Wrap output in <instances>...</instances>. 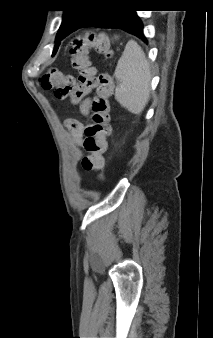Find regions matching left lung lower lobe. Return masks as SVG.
Returning <instances> with one entry per match:
<instances>
[{
    "label": "left lung lower lobe",
    "instance_id": "0a47b994",
    "mask_svg": "<svg viewBox=\"0 0 213 338\" xmlns=\"http://www.w3.org/2000/svg\"><path fill=\"white\" fill-rule=\"evenodd\" d=\"M84 27L119 28L147 43L143 25L136 12L124 7L112 9H87L70 27L68 34Z\"/></svg>",
    "mask_w": 213,
    "mask_h": 338
}]
</instances>
